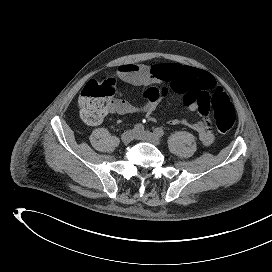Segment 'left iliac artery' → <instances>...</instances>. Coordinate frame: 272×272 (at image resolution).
<instances>
[{
  "label": "left iliac artery",
  "instance_id": "1",
  "mask_svg": "<svg viewBox=\"0 0 272 272\" xmlns=\"http://www.w3.org/2000/svg\"><path fill=\"white\" fill-rule=\"evenodd\" d=\"M154 134L157 136V137H162L164 136V130L162 128H156L154 130Z\"/></svg>",
  "mask_w": 272,
  "mask_h": 272
}]
</instances>
